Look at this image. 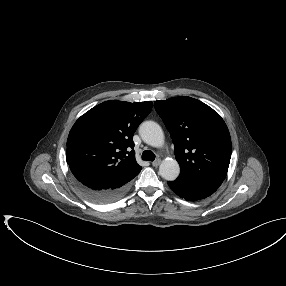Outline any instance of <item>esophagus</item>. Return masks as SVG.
Wrapping results in <instances>:
<instances>
[{"instance_id":"obj_1","label":"esophagus","mask_w":286,"mask_h":286,"mask_svg":"<svg viewBox=\"0 0 286 286\" xmlns=\"http://www.w3.org/2000/svg\"><path fill=\"white\" fill-rule=\"evenodd\" d=\"M160 163H161V160L160 159H156L155 161L152 162V165L154 167H157V166H159Z\"/></svg>"}]
</instances>
